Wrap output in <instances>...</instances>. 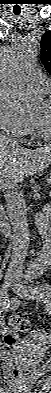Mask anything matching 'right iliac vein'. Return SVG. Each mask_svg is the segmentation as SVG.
<instances>
[{
    "mask_svg": "<svg viewBox=\"0 0 51 393\" xmlns=\"http://www.w3.org/2000/svg\"><path fill=\"white\" fill-rule=\"evenodd\" d=\"M15 281H16V279H15V276H14L13 274H10V273L7 274V275L5 276V278H4L5 291H7V288H8L9 286L14 285Z\"/></svg>",
    "mask_w": 51,
    "mask_h": 393,
    "instance_id": "right-iliac-vein-1",
    "label": "right iliac vein"
}]
</instances>
